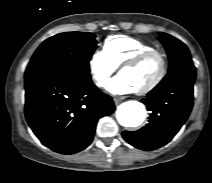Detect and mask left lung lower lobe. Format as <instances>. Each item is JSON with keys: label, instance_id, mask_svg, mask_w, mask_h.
I'll use <instances>...</instances> for the list:
<instances>
[{"label": "left lung lower lobe", "instance_id": "0a47b994", "mask_svg": "<svg viewBox=\"0 0 212 183\" xmlns=\"http://www.w3.org/2000/svg\"><path fill=\"white\" fill-rule=\"evenodd\" d=\"M196 71L191 59L172 67L164 79L142 102L151 111L149 123L135 131L122 133L132 146L151 151L167 144L190 115Z\"/></svg>", "mask_w": 212, "mask_h": 183}]
</instances>
